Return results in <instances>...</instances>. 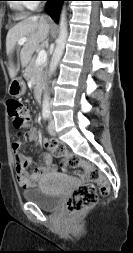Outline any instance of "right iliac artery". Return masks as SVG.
<instances>
[{
    "label": "right iliac artery",
    "mask_w": 133,
    "mask_h": 253,
    "mask_svg": "<svg viewBox=\"0 0 133 253\" xmlns=\"http://www.w3.org/2000/svg\"><path fill=\"white\" fill-rule=\"evenodd\" d=\"M48 117H49V111H44V112H43V119H44V120H47Z\"/></svg>",
    "instance_id": "82829eb1"
}]
</instances>
